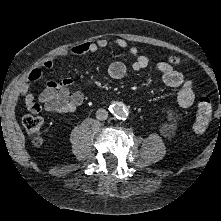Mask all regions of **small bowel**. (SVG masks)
Here are the masks:
<instances>
[{
    "label": "small bowel",
    "mask_w": 221,
    "mask_h": 221,
    "mask_svg": "<svg viewBox=\"0 0 221 221\" xmlns=\"http://www.w3.org/2000/svg\"><path fill=\"white\" fill-rule=\"evenodd\" d=\"M114 44L120 48L127 49L134 58L132 68L135 71L145 69L149 64L147 56L140 54L139 50L130 46L129 43L121 37L114 39ZM108 46V40L100 38L94 42H84L75 45L71 49L74 55H86L94 53L99 49ZM69 52L63 51L57 57H49L43 62V68L51 69L55 66L57 58L65 57ZM156 71L160 74L163 83L171 88L178 89L177 103L181 108H189L195 100L194 87L190 80L186 79L182 73L175 70L171 65L165 62L156 64ZM108 73L115 80L122 79L127 73V67L123 62L116 61L110 64ZM41 77V70L35 69L30 73L27 80L21 85L20 94L28 110L38 113L44 109L50 114L74 113L83 102V94L80 91H72L73 80L65 78L61 81H48L45 89L35 97L29 92L32 81Z\"/></svg>",
    "instance_id": "c3829d8e"
}]
</instances>
